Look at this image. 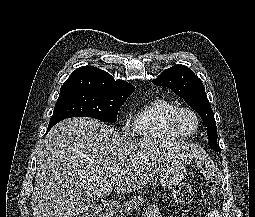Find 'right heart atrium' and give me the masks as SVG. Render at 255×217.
<instances>
[{
  "label": "right heart atrium",
  "mask_w": 255,
  "mask_h": 217,
  "mask_svg": "<svg viewBox=\"0 0 255 217\" xmlns=\"http://www.w3.org/2000/svg\"><path fill=\"white\" fill-rule=\"evenodd\" d=\"M122 131L124 132V133H130V131H131V128H130V125L126 122V123H124L123 124V126H122Z\"/></svg>",
  "instance_id": "obj_1"
}]
</instances>
